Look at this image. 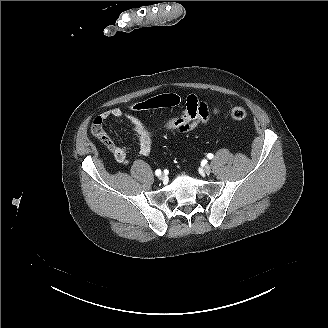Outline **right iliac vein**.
Returning <instances> with one entry per match:
<instances>
[{"instance_id":"right-iliac-vein-1","label":"right iliac vein","mask_w":328,"mask_h":328,"mask_svg":"<svg viewBox=\"0 0 328 328\" xmlns=\"http://www.w3.org/2000/svg\"><path fill=\"white\" fill-rule=\"evenodd\" d=\"M158 178H159L161 181L166 180V176H165L164 174H160V175L158 176Z\"/></svg>"}]
</instances>
